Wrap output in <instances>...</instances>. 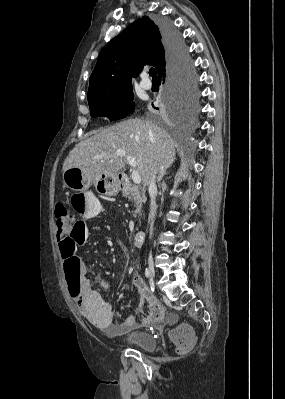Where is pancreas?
I'll use <instances>...</instances> for the list:
<instances>
[{
	"label": "pancreas",
	"instance_id": "1",
	"mask_svg": "<svg viewBox=\"0 0 285 399\" xmlns=\"http://www.w3.org/2000/svg\"><path fill=\"white\" fill-rule=\"evenodd\" d=\"M123 196L127 197L134 203V217H137L141 212L143 204L146 202L144 190L137 185L126 184L123 187Z\"/></svg>",
	"mask_w": 285,
	"mask_h": 399
}]
</instances>
